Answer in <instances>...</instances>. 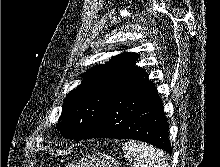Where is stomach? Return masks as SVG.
<instances>
[{
	"label": "stomach",
	"instance_id": "1",
	"mask_svg": "<svg viewBox=\"0 0 220 167\" xmlns=\"http://www.w3.org/2000/svg\"><path fill=\"white\" fill-rule=\"evenodd\" d=\"M65 167H117V161L109 155L93 153L78 162L68 163Z\"/></svg>",
	"mask_w": 220,
	"mask_h": 167
}]
</instances>
